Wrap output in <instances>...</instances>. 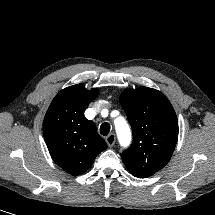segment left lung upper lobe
<instances>
[{
  "instance_id": "1",
  "label": "left lung upper lobe",
  "mask_w": 215,
  "mask_h": 215,
  "mask_svg": "<svg viewBox=\"0 0 215 215\" xmlns=\"http://www.w3.org/2000/svg\"><path fill=\"white\" fill-rule=\"evenodd\" d=\"M132 126L133 142L121 157L129 172L146 178L170 160L178 139V120L167 97L148 87L128 89L119 98Z\"/></svg>"
}]
</instances>
